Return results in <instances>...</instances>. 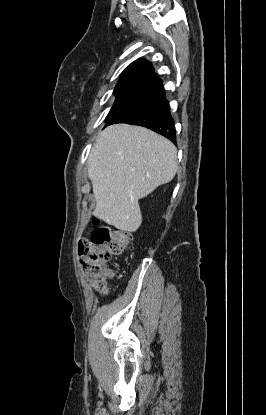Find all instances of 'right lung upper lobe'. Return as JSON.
<instances>
[{
	"mask_svg": "<svg viewBox=\"0 0 266 415\" xmlns=\"http://www.w3.org/2000/svg\"><path fill=\"white\" fill-rule=\"evenodd\" d=\"M162 86V81L156 77L152 65L147 60H137L124 69L114 92H135L150 95Z\"/></svg>",
	"mask_w": 266,
	"mask_h": 415,
	"instance_id": "right-lung-upper-lobe-1",
	"label": "right lung upper lobe"
}]
</instances>
